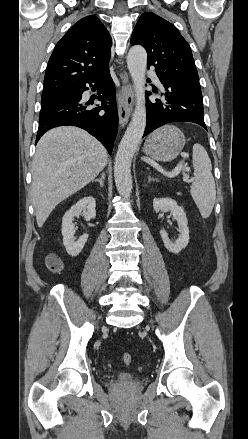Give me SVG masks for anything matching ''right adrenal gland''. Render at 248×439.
<instances>
[{"mask_svg": "<svg viewBox=\"0 0 248 439\" xmlns=\"http://www.w3.org/2000/svg\"><path fill=\"white\" fill-rule=\"evenodd\" d=\"M104 180H105V173L102 172L101 177L99 179L93 180V182H99L100 186H104Z\"/></svg>", "mask_w": 248, "mask_h": 439, "instance_id": "obj_1", "label": "right adrenal gland"}]
</instances>
